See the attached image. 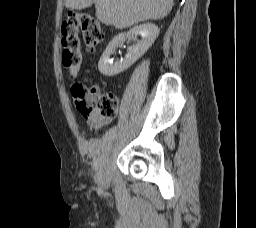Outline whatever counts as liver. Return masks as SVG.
Segmentation results:
<instances>
[{"mask_svg":"<svg viewBox=\"0 0 256 228\" xmlns=\"http://www.w3.org/2000/svg\"><path fill=\"white\" fill-rule=\"evenodd\" d=\"M92 4L99 21L123 29L142 21L163 19L172 10L173 0H65L68 9L80 10Z\"/></svg>","mask_w":256,"mask_h":228,"instance_id":"obj_1","label":"liver"}]
</instances>
